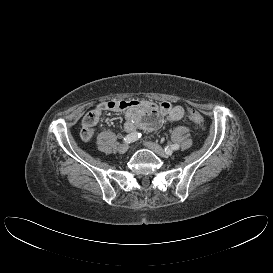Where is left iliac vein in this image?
<instances>
[{
	"instance_id": "4c4485c4",
	"label": "left iliac vein",
	"mask_w": 273,
	"mask_h": 273,
	"mask_svg": "<svg viewBox=\"0 0 273 273\" xmlns=\"http://www.w3.org/2000/svg\"><path fill=\"white\" fill-rule=\"evenodd\" d=\"M144 145L147 148L151 149L154 153H156L160 157L167 158L170 155V154H167L165 150L161 146H159L157 143L146 141L144 142Z\"/></svg>"
}]
</instances>
